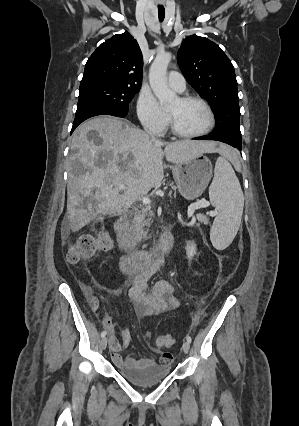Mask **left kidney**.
Returning <instances> with one entry per match:
<instances>
[{
  "label": "left kidney",
  "mask_w": 299,
  "mask_h": 426,
  "mask_svg": "<svg viewBox=\"0 0 299 426\" xmlns=\"http://www.w3.org/2000/svg\"><path fill=\"white\" fill-rule=\"evenodd\" d=\"M185 249L187 258L189 260L192 259L194 255H196V244L193 241H187Z\"/></svg>",
  "instance_id": "obj_1"
}]
</instances>
